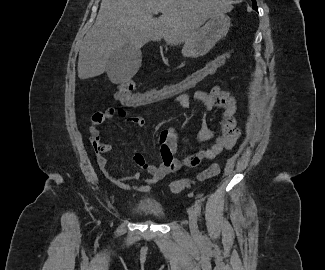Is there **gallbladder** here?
I'll return each mask as SVG.
<instances>
[{
  "label": "gallbladder",
  "instance_id": "bac80fb5",
  "mask_svg": "<svg viewBox=\"0 0 325 270\" xmlns=\"http://www.w3.org/2000/svg\"><path fill=\"white\" fill-rule=\"evenodd\" d=\"M141 61V51L130 44H126L110 56L107 74L116 80L130 79L138 71Z\"/></svg>",
  "mask_w": 325,
  "mask_h": 270
}]
</instances>
